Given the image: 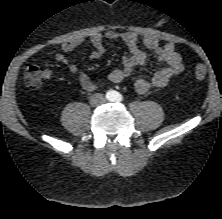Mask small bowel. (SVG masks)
I'll list each match as a JSON object with an SVG mask.
<instances>
[{
	"instance_id": "obj_1",
	"label": "small bowel",
	"mask_w": 222,
	"mask_h": 219,
	"mask_svg": "<svg viewBox=\"0 0 222 219\" xmlns=\"http://www.w3.org/2000/svg\"><path fill=\"white\" fill-rule=\"evenodd\" d=\"M104 40L122 41L126 44L129 54L122 60L120 68L112 70L108 79L113 83H119L124 79L132 76L136 67L142 66L147 60V54L140 47V37L132 31L119 32L116 30H108L103 33H94L91 35L89 42L93 47L90 52L92 59H97L105 53ZM145 48H147L153 57L163 64V67L156 71L151 78L137 77L134 82L135 90L139 94L147 93L153 89H161L166 87L169 82L183 72L184 65L181 56L176 51L172 43L161 44L159 40L151 34L143 36L141 40ZM85 40L82 38L74 39L65 42L62 45L63 53H57L55 60L67 67L70 73L76 78L79 86L88 92L96 90L97 84L76 65L72 64L64 53L74 51L79 46L83 45ZM43 79L48 81L53 73L51 69H44L42 72Z\"/></svg>"
}]
</instances>
